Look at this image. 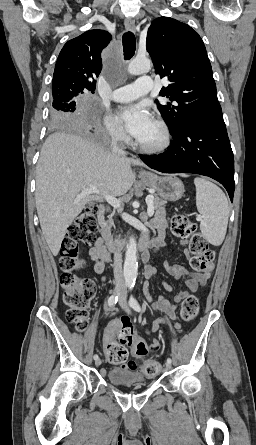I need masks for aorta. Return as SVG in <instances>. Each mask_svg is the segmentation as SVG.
Instances as JSON below:
<instances>
[{"instance_id": "obj_1", "label": "aorta", "mask_w": 256, "mask_h": 445, "mask_svg": "<svg viewBox=\"0 0 256 445\" xmlns=\"http://www.w3.org/2000/svg\"><path fill=\"white\" fill-rule=\"evenodd\" d=\"M150 69L151 61L147 58H135L130 61L127 68L128 72L133 75L147 73ZM123 274L127 284L132 285L135 283L138 274V263L137 246L133 237H130L129 244L127 245Z\"/></svg>"}]
</instances>
